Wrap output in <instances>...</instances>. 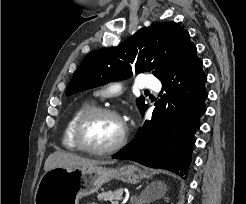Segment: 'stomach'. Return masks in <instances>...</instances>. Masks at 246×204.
Segmentation results:
<instances>
[{
  "instance_id": "obj_1",
  "label": "stomach",
  "mask_w": 246,
  "mask_h": 204,
  "mask_svg": "<svg viewBox=\"0 0 246 204\" xmlns=\"http://www.w3.org/2000/svg\"><path fill=\"white\" fill-rule=\"evenodd\" d=\"M149 177L147 170L131 164L117 168L96 165L56 167L40 178L34 204H78L82 197L96 193L111 179L136 184Z\"/></svg>"
}]
</instances>
